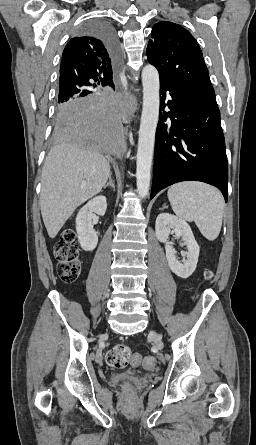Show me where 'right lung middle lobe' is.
<instances>
[{
    "mask_svg": "<svg viewBox=\"0 0 256 445\" xmlns=\"http://www.w3.org/2000/svg\"><path fill=\"white\" fill-rule=\"evenodd\" d=\"M60 106H62V103H57V107H60Z\"/></svg>",
    "mask_w": 256,
    "mask_h": 445,
    "instance_id": "1",
    "label": "right lung middle lobe"
}]
</instances>
